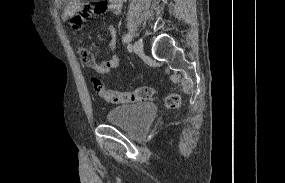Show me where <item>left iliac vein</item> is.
<instances>
[{"instance_id": "4c4485c4", "label": "left iliac vein", "mask_w": 285, "mask_h": 183, "mask_svg": "<svg viewBox=\"0 0 285 183\" xmlns=\"http://www.w3.org/2000/svg\"><path fill=\"white\" fill-rule=\"evenodd\" d=\"M133 50L135 51V53H137L138 55H141L143 53V42L141 39H138L134 45H133Z\"/></svg>"}]
</instances>
